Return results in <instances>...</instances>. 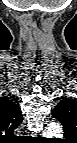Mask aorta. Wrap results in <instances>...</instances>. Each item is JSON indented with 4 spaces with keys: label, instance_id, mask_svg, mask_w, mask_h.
Instances as JSON below:
<instances>
[{
    "label": "aorta",
    "instance_id": "762f6f07",
    "mask_svg": "<svg viewBox=\"0 0 77 143\" xmlns=\"http://www.w3.org/2000/svg\"><path fill=\"white\" fill-rule=\"evenodd\" d=\"M62 132V128L60 126V124L56 123V122H51L47 125L44 134L45 135H56Z\"/></svg>",
    "mask_w": 77,
    "mask_h": 143
}]
</instances>
